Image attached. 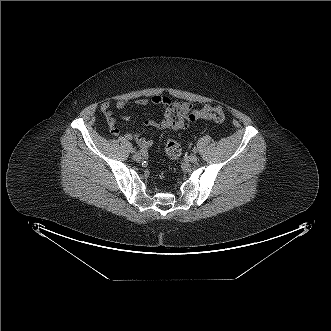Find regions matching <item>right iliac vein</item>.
<instances>
[{"label":"right iliac vein","instance_id":"1","mask_svg":"<svg viewBox=\"0 0 331 331\" xmlns=\"http://www.w3.org/2000/svg\"><path fill=\"white\" fill-rule=\"evenodd\" d=\"M133 159H134L135 161H140V160L142 159V155H141V153H139V152L135 153V154L133 155Z\"/></svg>","mask_w":331,"mask_h":331}]
</instances>
